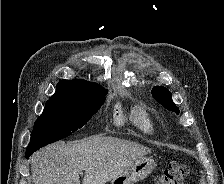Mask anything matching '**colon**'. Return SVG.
<instances>
[{
	"instance_id": "colon-1",
	"label": "colon",
	"mask_w": 224,
	"mask_h": 184,
	"mask_svg": "<svg viewBox=\"0 0 224 184\" xmlns=\"http://www.w3.org/2000/svg\"><path fill=\"white\" fill-rule=\"evenodd\" d=\"M188 174L187 165L174 162L160 175L157 184H183Z\"/></svg>"
}]
</instances>
